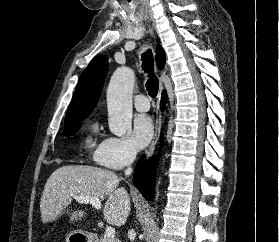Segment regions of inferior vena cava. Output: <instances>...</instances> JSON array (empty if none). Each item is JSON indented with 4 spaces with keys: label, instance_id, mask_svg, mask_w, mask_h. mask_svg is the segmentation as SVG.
Segmentation results:
<instances>
[{
    "label": "inferior vena cava",
    "instance_id": "obj_1",
    "mask_svg": "<svg viewBox=\"0 0 279 242\" xmlns=\"http://www.w3.org/2000/svg\"><path fill=\"white\" fill-rule=\"evenodd\" d=\"M136 155H137V152L134 148H132L129 152V155L127 157V161H126V166H127V169L125 170V175H130L132 173V167H131V164L133 163V161L135 160L136 158ZM133 230H130L128 232L129 235H134L133 234Z\"/></svg>",
    "mask_w": 279,
    "mask_h": 242
}]
</instances>
